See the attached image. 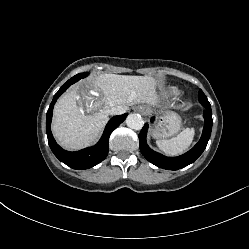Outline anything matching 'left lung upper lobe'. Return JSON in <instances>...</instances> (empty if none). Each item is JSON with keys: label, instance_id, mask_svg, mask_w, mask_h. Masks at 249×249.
I'll list each match as a JSON object with an SVG mask.
<instances>
[{"label": "left lung upper lobe", "instance_id": "1", "mask_svg": "<svg viewBox=\"0 0 249 249\" xmlns=\"http://www.w3.org/2000/svg\"><path fill=\"white\" fill-rule=\"evenodd\" d=\"M204 93H203V91L202 90H200L199 91V96H201V95H203ZM205 95V94H204Z\"/></svg>", "mask_w": 249, "mask_h": 249}]
</instances>
